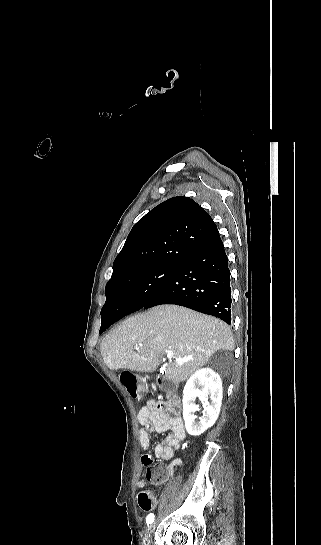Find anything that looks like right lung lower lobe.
<instances>
[{"label": "right lung lower lobe", "instance_id": "1", "mask_svg": "<svg viewBox=\"0 0 321 545\" xmlns=\"http://www.w3.org/2000/svg\"><path fill=\"white\" fill-rule=\"evenodd\" d=\"M231 288L228 259L219 232L196 250L170 281L142 308L176 304L231 323ZM101 315L109 326L128 315L119 303L104 305Z\"/></svg>", "mask_w": 321, "mask_h": 545}]
</instances>
